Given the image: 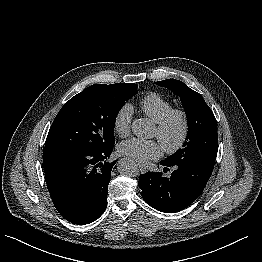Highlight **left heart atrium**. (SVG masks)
<instances>
[{
    "label": "left heart atrium",
    "mask_w": 262,
    "mask_h": 262,
    "mask_svg": "<svg viewBox=\"0 0 262 262\" xmlns=\"http://www.w3.org/2000/svg\"><path fill=\"white\" fill-rule=\"evenodd\" d=\"M121 155L130 157L140 162L157 159L161 156L163 147L157 140H144L131 138L121 142L118 146Z\"/></svg>",
    "instance_id": "39dd6f15"
}]
</instances>
